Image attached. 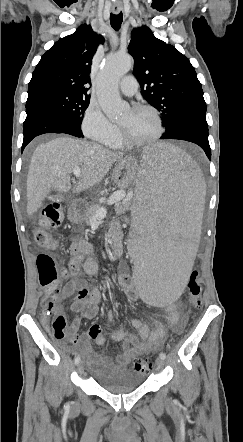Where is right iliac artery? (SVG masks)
Returning a JSON list of instances; mask_svg holds the SVG:
<instances>
[{"label": "right iliac artery", "mask_w": 243, "mask_h": 442, "mask_svg": "<svg viewBox=\"0 0 243 442\" xmlns=\"http://www.w3.org/2000/svg\"><path fill=\"white\" fill-rule=\"evenodd\" d=\"M79 362H80V357H79V356H76V357H75V364H79ZM69 407H70L69 404H66V405H65V409H66V410H68Z\"/></svg>", "instance_id": "82829eb1"}]
</instances>
